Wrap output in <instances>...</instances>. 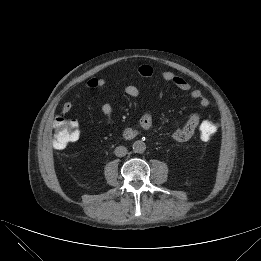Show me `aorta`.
Returning <instances> with one entry per match:
<instances>
[{
    "label": "aorta",
    "mask_w": 261,
    "mask_h": 261,
    "mask_svg": "<svg viewBox=\"0 0 261 261\" xmlns=\"http://www.w3.org/2000/svg\"><path fill=\"white\" fill-rule=\"evenodd\" d=\"M132 148L135 153H143L146 150V145L143 141L137 140L133 143Z\"/></svg>",
    "instance_id": "aorta-1"
}]
</instances>
